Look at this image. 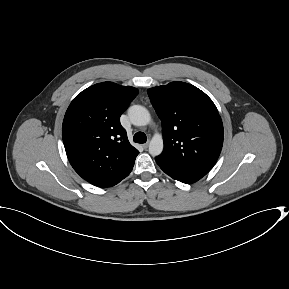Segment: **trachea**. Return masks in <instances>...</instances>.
Masks as SVG:
<instances>
[{
	"mask_svg": "<svg viewBox=\"0 0 289 289\" xmlns=\"http://www.w3.org/2000/svg\"><path fill=\"white\" fill-rule=\"evenodd\" d=\"M133 140L136 143H145L147 141V138L144 132H137L134 135Z\"/></svg>",
	"mask_w": 289,
	"mask_h": 289,
	"instance_id": "3493384b",
	"label": "trachea"
}]
</instances>
